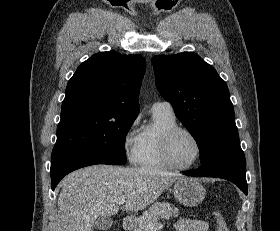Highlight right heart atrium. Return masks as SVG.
<instances>
[{"mask_svg": "<svg viewBox=\"0 0 280 231\" xmlns=\"http://www.w3.org/2000/svg\"><path fill=\"white\" fill-rule=\"evenodd\" d=\"M136 127L137 121L133 120L126 128L122 137L125 156L128 161L133 164L138 163L142 146V136L141 133L136 131Z\"/></svg>", "mask_w": 280, "mask_h": 231, "instance_id": "1", "label": "right heart atrium"}]
</instances>
